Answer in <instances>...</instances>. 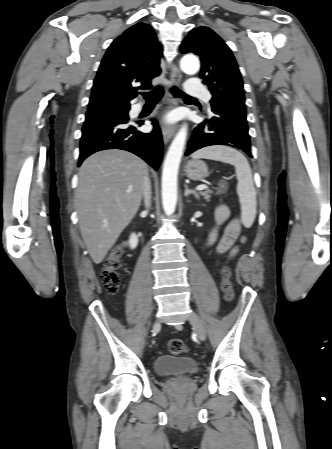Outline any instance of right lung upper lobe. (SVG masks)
I'll return each instance as SVG.
<instances>
[{"label":"right lung upper lobe","instance_id":"obj_1","mask_svg":"<svg viewBox=\"0 0 332 449\" xmlns=\"http://www.w3.org/2000/svg\"><path fill=\"white\" fill-rule=\"evenodd\" d=\"M161 56L162 46L148 24L137 23L127 29L101 61L87 113L129 108L137 90L151 88V80L160 75Z\"/></svg>","mask_w":332,"mask_h":449}]
</instances>
